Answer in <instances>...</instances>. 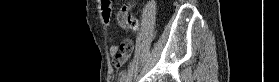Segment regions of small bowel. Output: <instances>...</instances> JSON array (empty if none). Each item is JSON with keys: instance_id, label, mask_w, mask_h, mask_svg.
I'll return each mask as SVG.
<instances>
[{"instance_id": "1", "label": "small bowel", "mask_w": 279, "mask_h": 82, "mask_svg": "<svg viewBox=\"0 0 279 82\" xmlns=\"http://www.w3.org/2000/svg\"><path fill=\"white\" fill-rule=\"evenodd\" d=\"M111 17V9L110 5L103 4V19L106 23H109ZM131 47V43L128 39H124L120 45L113 44L109 48V53L113 57V65L115 68H120L126 62L127 56V49ZM121 49V51H120Z\"/></svg>"}]
</instances>
